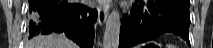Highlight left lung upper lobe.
I'll use <instances>...</instances> for the list:
<instances>
[{
  "label": "left lung upper lobe",
  "mask_w": 213,
  "mask_h": 48,
  "mask_svg": "<svg viewBox=\"0 0 213 48\" xmlns=\"http://www.w3.org/2000/svg\"><path fill=\"white\" fill-rule=\"evenodd\" d=\"M181 1H183V2H185V3H187V4H189V3H190V1H189V0H181Z\"/></svg>",
  "instance_id": "1"
}]
</instances>
